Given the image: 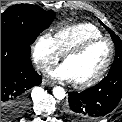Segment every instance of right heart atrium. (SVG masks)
I'll use <instances>...</instances> for the list:
<instances>
[{
  "mask_svg": "<svg viewBox=\"0 0 122 122\" xmlns=\"http://www.w3.org/2000/svg\"><path fill=\"white\" fill-rule=\"evenodd\" d=\"M60 56L52 35L45 33L37 38L33 46V60L40 71L48 70Z\"/></svg>",
  "mask_w": 122,
  "mask_h": 122,
  "instance_id": "1",
  "label": "right heart atrium"
}]
</instances>
